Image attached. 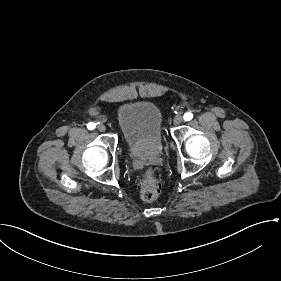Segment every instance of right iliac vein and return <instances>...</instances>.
<instances>
[{
    "label": "right iliac vein",
    "instance_id": "right-iliac-vein-1",
    "mask_svg": "<svg viewBox=\"0 0 281 281\" xmlns=\"http://www.w3.org/2000/svg\"><path fill=\"white\" fill-rule=\"evenodd\" d=\"M97 129L100 131V132H104L106 130V127L103 125V124H99L97 126Z\"/></svg>",
    "mask_w": 281,
    "mask_h": 281
}]
</instances>
